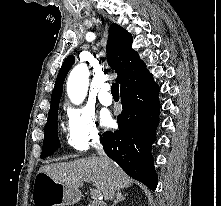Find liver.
I'll return each mask as SVG.
<instances>
[{
	"label": "liver",
	"instance_id": "obj_1",
	"mask_svg": "<svg viewBox=\"0 0 221 206\" xmlns=\"http://www.w3.org/2000/svg\"><path fill=\"white\" fill-rule=\"evenodd\" d=\"M39 173L75 188L81 187L84 181L93 182L106 200H112L115 191L133 184V180L115 162L109 160L104 164L98 157L44 165Z\"/></svg>",
	"mask_w": 221,
	"mask_h": 206
}]
</instances>
